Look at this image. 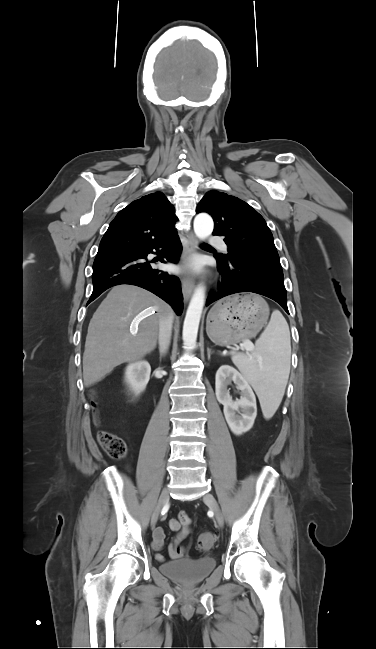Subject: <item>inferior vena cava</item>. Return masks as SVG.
Masks as SVG:
<instances>
[{"label": "inferior vena cava", "instance_id": "1", "mask_svg": "<svg viewBox=\"0 0 376 649\" xmlns=\"http://www.w3.org/2000/svg\"><path fill=\"white\" fill-rule=\"evenodd\" d=\"M173 313L163 317L160 321L158 343L160 354H165L169 348L172 334Z\"/></svg>", "mask_w": 376, "mask_h": 649}]
</instances>
